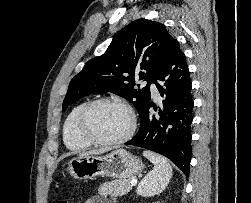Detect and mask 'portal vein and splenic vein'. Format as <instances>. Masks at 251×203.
<instances>
[{
  "label": "portal vein and splenic vein",
  "mask_w": 251,
  "mask_h": 203,
  "mask_svg": "<svg viewBox=\"0 0 251 203\" xmlns=\"http://www.w3.org/2000/svg\"><path fill=\"white\" fill-rule=\"evenodd\" d=\"M137 184V180L136 179H133L132 181H131V186H135Z\"/></svg>",
  "instance_id": "portal-vein-and-splenic-vein-1"
}]
</instances>
